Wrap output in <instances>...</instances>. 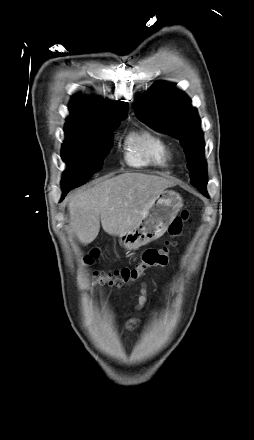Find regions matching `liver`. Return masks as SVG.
I'll use <instances>...</instances> for the list:
<instances>
[{"label":"liver","mask_w":254,"mask_h":440,"mask_svg":"<svg viewBox=\"0 0 254 440\" xmlns=\"http://www.w3.org/2000/svg\"><path fill=\"white\" fill-rule=\"evenodd\" d=\"M173 185L163 177L123 173L72 197L68 203L70 228L87 245L103 230L112 236L132 231L146 216L154 199Z\"/></svg>","instance_id":"1"}]
</instances>
